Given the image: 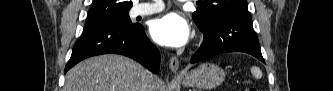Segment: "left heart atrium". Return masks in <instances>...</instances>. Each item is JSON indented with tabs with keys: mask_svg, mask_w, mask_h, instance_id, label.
Returning <instances> with one entry per match:
<instances>
[{
	"mask_svg": "<svg viewBox=\"0 0 333 91\" xmlns=\"http://www.w3.org/2000/svg\"><path fill=\"white\" fill-rule=\"evenodd\" d=\"M150 35L155 42L166 47H182L190 38V25L177 13H169L152 21Z\"/></svg>",
	"mask_w": 333,
	"mask_h": 91,
	"instance_id": "obj_1",
	"label": "left heart atrium"
}]
</instances>
